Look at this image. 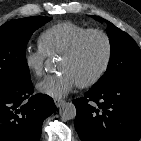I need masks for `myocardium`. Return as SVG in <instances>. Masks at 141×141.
<instances>
[{"label": "myocardium", "mask_w": 141, "mask_h": 141, "mask_svg": "<svg viewBox=\"0 0 141 141\" xmlns=\"http://www.w3.org/2000/svg\"><path fill=\"white\" fill-rule=\"evenodd\" d=\"M91 35H99L104 39L106 44V54L103 63L97 72L89 79L77 83L78 86L82 88L90 87L98 83L108 70L113 55V44L109 34L101 29H88L79 35L74 42L61 54V57L66 58L74 56L82 46L83 42Z\"/></svg>", "instance_id": "myocardium-1"}]
</instances>
